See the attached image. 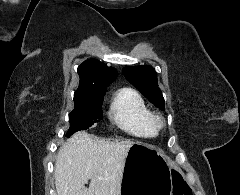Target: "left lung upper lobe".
<instances>
[{"label": "left lung upper lobe", "mask_w": 240, "mask_h": 195, "mask_svg": "<svg viewBox=\"0 0 240 195\" xmlns=\"http://www.w3.org/2000/svg\"><path fill=\"white\" fill-rule=\"evenodd\" d=\"M123 74L156 107L165 110L164 98L158 87L157 74L151 66L124 67Z\"/></svg>", "instance_id": "1"}]
</instances>
